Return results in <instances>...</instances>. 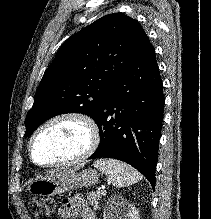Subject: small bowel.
I'll use <instances>...</instances> for the list:
<instances>
[{"mask_svg":"<svg viewBox=\"0 0 211 219\" xmlns=\"http://www.w3.org/2000/svg\"><path fill=\"white\" fill-rule=\"evenodd\" d=\"M97 219L94 212L85 204L82 196L77 195L63 201L57 211L56 219Z\"/></svg>","mask_w":211,"mask_h":219,"instance_id":"obj_1","label":"small bowel"}]
</instances>
